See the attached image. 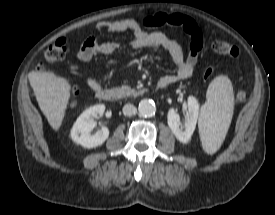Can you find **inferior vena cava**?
Instances as JSON below:
<instances>
[{"mask_svg":"<svg viewBox=\"0 0 275 215\" xmlns=\"http://www.w3.org/2000/svg\"><path fill=\"white\" fill-rule=\"evenodd\" d=\"M136 112H137V109L133 104H125L123 107V114L126 116L135 115Z\"/></svg>","mask_w":275,"mask_h":215,"instance_id":"602c4592","label":"inferior vena cava"}]
</instances>
